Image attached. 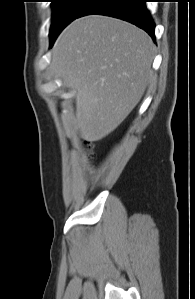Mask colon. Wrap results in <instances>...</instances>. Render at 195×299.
I'll list each match as a JSON object with an SVG mask.
<instances>
[{
  "mask_svg": "<svg viewBox=\"0 0 195 299\" xmlns=\"http://www.w3.org/2000/svg\"><path fill=\"white\" fill-rule=\"evenodd\" d=\"M86 148L89 149V150L92 148L90 142H88V143L86 144Z\"/></svg>",
  "mask_w": 195,
  "mask_h": 299,
  "instance_id": "1",
  "label": "colon"
}]
</instances>
